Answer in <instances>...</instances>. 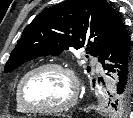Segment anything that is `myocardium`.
Masks as SVG:
<instances>
[{"label":"myocardium","instance_id":"1","mask_svg":"<svg viewBox=\"0 0 133 118\" xmlns=\"http://www.w3.org/2000/svg\"><path fill=\"white\" fill-rule=\"evenodd\" d=\"M45 69H57L65 72L71 81L72 94H71V97L61 105L53 106V107H34L30 105L25 98V86L28 79L33 74ZM79 95H80V83L75 71L73 70L72 67L60 62H47L30 69L28 72H26L23 75V77L21 78L18 84V98L21 105L25 108L27 112L35 113V114H54V113L67 111L71 109L78 102Z\"/></svg>","mask_w":133,"mask_h":118}]
</instances>
